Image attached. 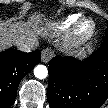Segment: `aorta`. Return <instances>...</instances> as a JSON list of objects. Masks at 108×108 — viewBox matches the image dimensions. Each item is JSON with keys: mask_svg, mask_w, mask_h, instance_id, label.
I'll use <instances>...</instances> for the list:
<instances>
[{"mask_svg": "<svg viewBox=\"0 0 108 108\" xmlns=\"http://www.w3.org/2000/svg\"><path fill=\"white\" fill-rule=\"evenodd\" d=\"M34 75L38 79L46 78L47 75H48V70H47L46 66H44V65H37L34 68Z\"/></svg>", "mask_w": 108, "mask_h": 108, "instance_id": "1", "label": "aorta"}]
</instances>
